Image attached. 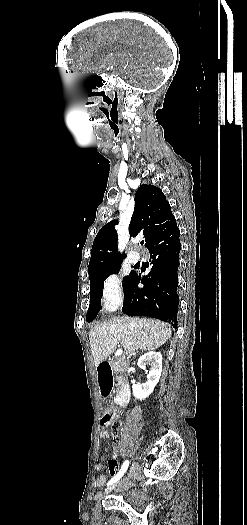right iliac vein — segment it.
I'll list each match as a JSON object with an SVG mask.
<instances>
[{"instance_id":"obj_1","label":"right iliac vein","mask_w":247,"mask_h":525,"mask_svg":"<svg viewBox=\"0 0 247 525\" xmlns=\"http://www.w3.org/2000/svg\"><path fill=\"white\" fill-rule=\"evenodd\" d=\"M116 486H117V483H113V484H111L110 486H108V487L104 490L103 495L110 493V492H111Z\"/></svg>"}]
</instances>
